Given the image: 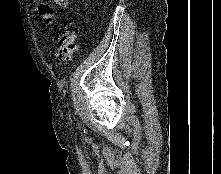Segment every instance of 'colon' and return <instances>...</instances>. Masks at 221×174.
Returning <instances> with one entry per match:
<instances>
[{
	"mask_svg": "<svg viewBox=\"0 0 221 174\" xmlns=\"http://www.w3.org/2000/svg\"><path fill=\"white\" fill-rule=\"evenodd\" d=\"M78 37V27L72 22L64 24V30L58 35L57 56L62 60H67L77 50L76 39Z\"/></svg>",
	"mask_w": 221,
	"mask_h": 174,
	"instance_id": "5ec220e1",
	"label": "colon"
}]
</instances>
